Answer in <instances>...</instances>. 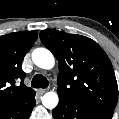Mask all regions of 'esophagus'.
Segmentation results:
<instances>
[{"label":"esophagus","instance_id":"1","mask_svg":"<svg viewBox=\"0 0 119 119\" xmlns=\"http://www.w3.org/2000/svg\"><path fill=\"white\" fill-rule=\"evenodd\" d=\"M45 92H46V89H38V90H37V93H38L39 95H43Z\"/></svg>","mask_w":119,"mask_h":119}]
</instances>
